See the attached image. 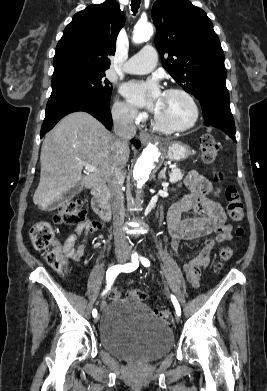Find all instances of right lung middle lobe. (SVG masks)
<instances>
[{"label":"right lung middle lobe","instance_id":"obj_1","mask_svg":"<svg viewBox=\"0 0 267 391\" xmlns=\"http://www.w3.org/2000/svg\"><path fill=\"white\" fill-rule=\"evenodd\" d=\"M105 71H72L52 76V93L48 102L78 96L110 103L111 83Z\"/></svg>","mask_w":267,"mask_h":391}]
</instances>
